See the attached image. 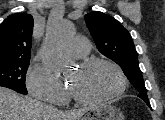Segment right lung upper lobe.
Returning <instances> with one entry per match:
<instances>
[{"label": "right lung upper lobe", "mask_w": 165, "mask_h": 120, "mask_svg": "<svg viewBox=\"0 0 165 120\" xmlns=\"http://www.w3.org/2000/svg\"><path fill=\"white\" fill-rule=\"evenodd\" d=\"M33 17L16 13L0 25V58L30 59Z\"/></svg>", "instance_id": "obj_1"}]
</instances>
